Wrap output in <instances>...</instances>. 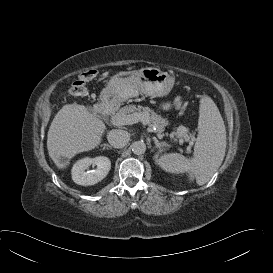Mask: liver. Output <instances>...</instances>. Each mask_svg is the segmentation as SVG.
Returning a JSON list of instances; mask_svg holds the SVG:
<instances>
[{
  "label": "liver",
  "instance_id": "obj_1",
  "mask_svg": "<svg viewBox=\"0 0 273 273\" xmlns=\"http://www.w3.org/2000/svg\"><path fill=\"white\" fill-rule=\"evenodd\" d=\"M106 129L103 121L79 104L63 106L54 117L47 135L49 156L59 169L76 154L98 146Z\"/></svg>",
  "mask_w": 273,
  "mask_h": 273
}]
</instances>
